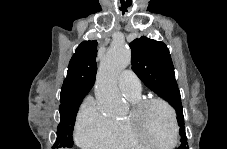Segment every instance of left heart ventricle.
<instances>
[{
	"mask_svg": "<svg viewBox=\"0 0 227 149\" xmlns=\"http://www.w3.org/2000/svg\"><path fill=\"white\" fill-rule=\"evenodd\" d=\"M142 130L155 143H170L173 139V123L169 111L160 104L148 107L142 118Z\"/></svg>",
	"mask_w": 227,
	"mask_h": 149,
	"instance_id": "left-heart-ventricle-1",
	"label": "left heart ventricle"
}]
</instances>
